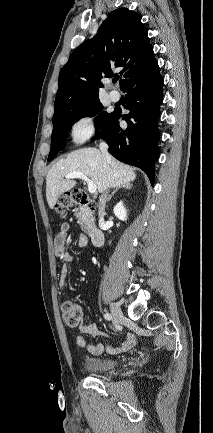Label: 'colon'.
I'll list each match as a JSON object with an SVG mask.
<instances>
[{
    "mask_svg": "<svg viewBox=\"0 0 213 433\" xmlns=\"http://www.w3.org/2000/svg\"><path fill=\"white\" fill-rule=\"evenodd\" d=\"M87 204L90 208H95V201L84 190L75 189L63 194L56 205L59 213H64L75 205ZM62 317L65 323L76 328L81 323L82 311L79 305L74 302L66 301L61 306Z\"/></svg>",
    "mask_w": 213,
    "mask_h": 433,
    "instance_id": "5ec220e1",
    "label": "colon"
}]
</instances>
